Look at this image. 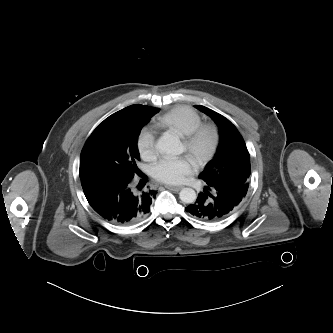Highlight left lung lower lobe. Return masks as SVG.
<instances>
[{
	"mask_svg": "<svg viewBox=\"0 0 333 333\" xmlns=\"http://www.w3.org/2000/svg\"><path fill=\"white\" fill-rule=\"evenodd\" d=\"M206 182L204 192L197 200L186 208V211L195 218L214 222L231 214L246 195L243 187L236 188L222 183L210 184Z\"/></svg>",
	"mask_w": 333,
	"mask_h": 333,
	"instance_id": "1",
	"label": "left lung lower lobe"
}]
</instances>
